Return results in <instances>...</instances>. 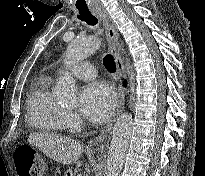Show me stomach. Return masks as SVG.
Listing matches in <instances>:
<instances>
[{
    "label": "stomach",
    "mask_w": 205,
    "mask_h": 176,
    "mask_svg": "<svg viewBox=\"0 0 205 176\" xmlns=\"http://www.w3.org/2000/svg\"><path fill=\"white\" fill-rule=\"evenodd\" d=\"M30 149H33L34 150V148L32 147V146H30V145H27Z\"/></svg>",
    "instance_id": "0dacf381"
}]
</instances>
